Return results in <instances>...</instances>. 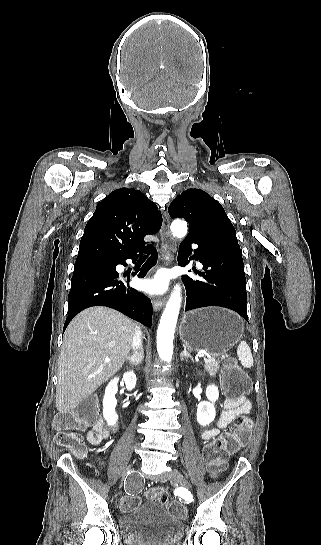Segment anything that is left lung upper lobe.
<instances>
[{
  "label": "left lung upper lobe",
  "mask_w": 321,
  "mask_h": 545,
  "mask_svg": "<svg viewBox=\"0 0 321 545\" xmlns=\"http://www.w3.org/2000/svg\"><path fill=\"white\" fill-rule=\"evenodd\" d=\"M169 214L171 218H185L190 224L189 234L214 228L234 229L221 204L200 189H188L177 196L169 206Z\"/></svg>",
  "instance_id": "1"
}]
</instances>
